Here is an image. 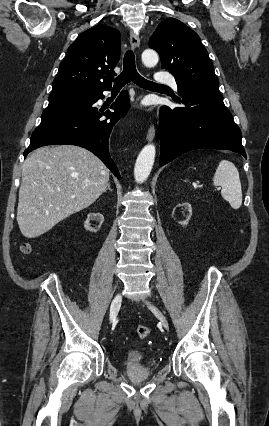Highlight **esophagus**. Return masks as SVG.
I'll return each mask as SVG.
<instances>
[{
    "instance_id": "esophagus-1",
    "label": "esophagus",
    "mask_w": 269,
    "mask_h": 426,
    "mask_svg": "<svg viewBox=\"0 0 269 426\" xmlns=\"http://www.w3.org/2000/svg\"><path fill=\"white\" fill-rule=\"evenodd\" d=\"M139 44H140L139 36L135 32L131 31L130 32V45H131L132 49L138 48ZM154 137H155V128L152 125V126L149 127V129L147 131V140L152 141L154 139Z\"/></svg>"
}]
</instances>
